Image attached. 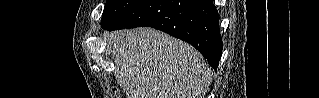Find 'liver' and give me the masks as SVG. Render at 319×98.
<instances>
[{
    "label": "liver",
    "instance_id": "liver-1",
    "mask_svg": "<svg viewBox=\"0 0 319 98\" xmlns=\"http://www.w3.org/2000/svg\"><path fill=\"white\" fill-rule=\"evenodd\" d=\"M127 98H204L212 72L191 45L152 28L105 33Z\"/></svg>",
    "mask_w": 319,
    "mask_h": 98
}]
</instances>
